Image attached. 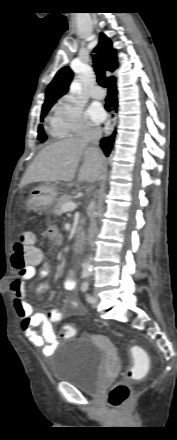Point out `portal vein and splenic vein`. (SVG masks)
<instances>
[{
  "label": "portal vein and splenic vein",
  "mask_w": 177,
  "mask_h": 440,
  "mask_svg": "<svg viewBox=\"0 0 177 440\" xmlns=\"http://www.w3.org/2000/svg\"><path fill=\"white\" fill-rule=\"evenodd\" d=\"M76 207H77V205L74 202H69V203H66L62 206L61 211H62V213H66V212L75 210Z\"/></svg>",
  "instance_id": "1"
}]
</instances>
